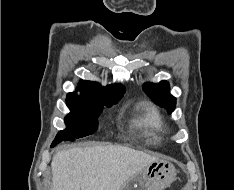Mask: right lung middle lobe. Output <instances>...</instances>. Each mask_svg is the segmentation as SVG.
Segmentation results:
<instances>
[{
  "instance_id": "right-lung-middle-lobe-1",
  "label": "right lung middle lobe",
  "mask_w": 234,
  "mask_h": 190,
  "mask_svg": "<svg viewBox=\"0 0 234 190\" xmlns=\"http://www.w3.org/2000/svg\"><path fill=\"white\" fill-rule=\"evenodd\" d=\"M70 113L65 117L66 129L56 135L51 147L62 141H74L97 130L98 117L104 106L112 104L89 103L82 101L66 100Z\"/></svg>"
}]
</instances>
